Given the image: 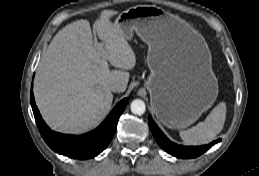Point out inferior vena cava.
I'll list each match as a JSON object with an SVG mask.
<instances>
[{"mask_svg":"<svg viewBox=\"0 0 259 176\" xmlns=\"http://www.w3.org/2000/svg\"><path fill=\"white\" fill-rule=\"evenodd\" d=\"M110 90L113 92H121L123 90V87L116 82L110 85Z\"/></svg>","mask_w":259,"mask_h":176,"instance_id":"1","label":"inferior vena cava"}]
</instances>
